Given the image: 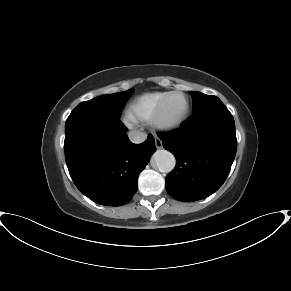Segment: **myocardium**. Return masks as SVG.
<instances>
[{
  "label": "myocardium",
  "mask_w": 291,
  "mask_h": 291,
  "mask_svg": "<svg viewBox=\"0 0 291 291\" xmlns=\"http://www.w3.org/2000/svg\"><path fill=\"white\" fill-rule=\"evenodd\" d=\"M176 95H181L186 99V110H185L183 117L179 121L173 122V123H167L163 119L165 107H166L168 101L173 96H176ZM190 112H191L190 100L185 93L180 92V91L169 92L162 99V101L159 103L158 107L156 108V110L151 118V125L155 129L160 130V131H173V130L180 128L188 120V118L190 116Z\"/></svg>",
  "instance_id": "1"
}]
</instances>
